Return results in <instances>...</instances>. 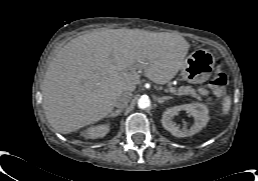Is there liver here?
<instances>
[{"mask_svg": "<svg viewBox=\"0 0 258 181\" xmlns=\"http://www.w3.org/2000/svg\"><path fill=\"white\" fill-rule=\"evenodd\" d=\"M190 45L172 33L105 29L78 36L59 50L41 85L46 118L61 134L106 117L140 74L166 84L183 67Z\"/></svg>", "mask_w": 258, "mask_h": 181, "instance_id": "6515ba94", "label": "liver"}]
</instances>
